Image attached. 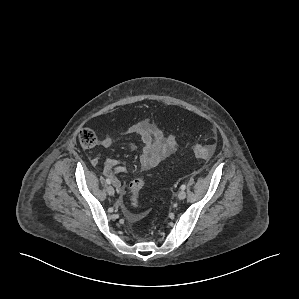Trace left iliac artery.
<instances>
[{
	"instance_id": "left-iliac-artery-1",
	"label": "left iliac artery",
	"mask_w": 299,
	"mask_h": 299,
	"mask_svg": "<svg viewBox=\"0 0 299 299\" xmlns=\"http://www.w3.org/2000/svg\"><path fill=\"white\" fill-rule=\"evenodd\" d=\"M181 190H185V188H186V185L185 184H183V185H181Z\"/></svg>"
}]
</instances>
